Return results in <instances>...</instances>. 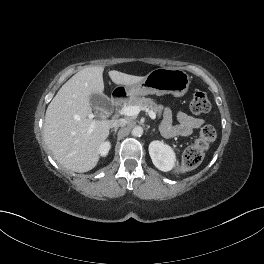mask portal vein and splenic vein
<instances>
[{"label": "portal vein and splenic vein", "instance_id": "obj_1", "mask_svg": "<svg viewBox=\"0 0 264 264\" xmlns=\"http://www.w3.org/2000/svg\"><path fill=\"white\" fill-rule=\"evenodd\" d=\"M141 110H145L149 114V116H150V118L152 120L156 119V114H155L154 111H152V110H150L148 108L142 109L139 106H127V107H124V108H122L120 113L122 115H125V116H137ZM89 118H93V115H90ZM93 128H94V123L91 124V126L89 128V131L91 132Z\"/></svg>", "mask_w": 264, "mask_h": 264}]
</instances>
